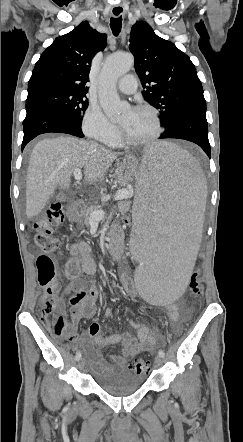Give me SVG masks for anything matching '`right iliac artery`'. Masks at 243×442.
<instances>
[{
	"label": "right iliac artery",
	"instance_id": "right-iliac-artery-1",
	"mask_svg": "<svg viewBox=\"0 0 243 442\" xmlns=\"http://www.w3.org/2000/svg\"><path fill=\"white\" fill-rule=\"evenodd\" d=\"M80 358H81V353H80V352H77L76 355H75V359H76L77 361H79Z\"/></svg>",
	"mask_w": 243,
	"mask_h": 442
}]
</instances>
